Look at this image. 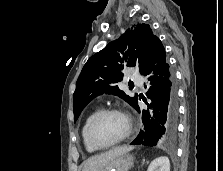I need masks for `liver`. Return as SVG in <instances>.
I'll return each mask as SVG.
<instances>
[{"label":"liver","mask_w":223,"mask_h":171,"mask_svg":"<svg viewBox=\"0 0 223 171\" xmlns=\"http://www.w3.org/2000/svg\"><path fill=\"white\" fill-rule=\"evenodd\" d=\"M131 150V146H121L113 148L112 150H109L103 154L93 156L85 162L82 171H99L117 156L125 154Z\"/></svg>","instance_id":"liver-1"}]
</instances>
